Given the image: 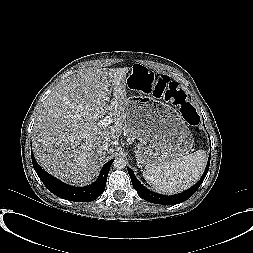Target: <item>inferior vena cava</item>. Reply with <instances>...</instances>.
Returning <instances> with one entry per match:
<instances>
[{"label": "inferior vena cava", "instance_id": "inferior-vena-cava-1", "mask_svg": "<svg viewBox=\"0 0 253 253\" xmlns=\"http://www.w3.org/2000/svg\"><path fill=\"white\" fill-rule=\"evenodd\" d=\"M103 149H104V151H108L109 150V144L105 143L103 145Z\"/></svg>", "mask_w": 253, "mask_h": 253}]
</instances>
